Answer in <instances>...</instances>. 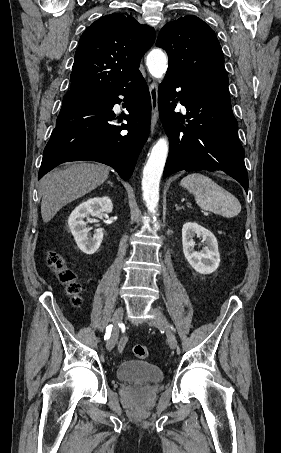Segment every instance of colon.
<instances>
[{
  "label": "colon",
  "instance_id": "colon-1",
  "mask_svg": "<svg viewBox=\"0 0 281 453\" xmlns=\"http://www.w3.org/2000/svg\"><path fill=\"white\" fill-rule=\"evenodd\" d=\"M47 265L56 273L59 281L67 285L68 292L75 303H80L81 285L77 280L76 271L64 265V258L56 251L49 250L46 257ZM134 355L140 359L150 358V350L144 346H134Z\"/></svg>",
  "mask_w": 281,
  "mask_h": 453
}]
</instances>
